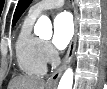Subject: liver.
I'll use <instances>...</instances> for the list:
<instances>
[{
	"instance_id": "liver-1",
	"label": "liver",
	"mask_w": 107,
	"mask_h": 89,
	"mask_svg": "<svg viewBox=\"0 0 107 89\" xmlns=\"http://www.w3.org/2000/svg\"><path fill=\"white\" fill-rule=\"evenodd\" d=\"M45 81L32 76H18L13 78L8 89H44Z\"/></svg>"
}]
</instances>
